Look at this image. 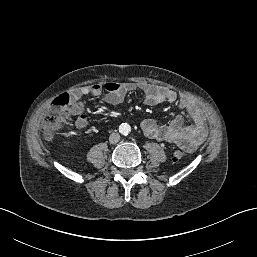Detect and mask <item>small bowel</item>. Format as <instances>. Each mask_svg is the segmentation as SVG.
<instances>
[{
    "label": "small bowel",
    "instance_id": "obj_1",
    "mask_svg": "<svg viewBox=\"0 0 257 257\" xmlns=\"http://www.w3.org/2000/svg\"><path fill=\"white\" fill-rule=\"evenodd\" d=\"M140 90L144 94V103L150 106L163 102H178L181 109L189 114L192 122L184 124L181 115L175 116L168 124H158L154 119L147 118L141 123L144 134L158 141L173 143L186 151L198 148L207 137L205 116L198 105L188 96L178 97L177 93L169 88L141 82H107L74 89L70 94V114L76 117L75 125L78 129L87 126L84 114L85 106L81 98L86 95L101 96L103 101L110 105L121 104L126 95L132 91Z\"/></svg>",
    "mask_w": 257,
    "mask_h": 257
}]
</instances>
